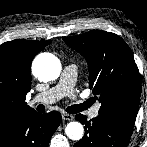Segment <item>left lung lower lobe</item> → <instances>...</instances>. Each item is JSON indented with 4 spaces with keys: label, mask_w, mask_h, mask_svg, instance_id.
Segmentation results:
<instances>
[{
    "label": "left lung lower lobe",
    "mask_w": 147,
    "mask_h": 147,
    "mask_svg": "<svg viewBox=\"0 0 147 147\" xmlns=\"http://www.w3.org/2000/svg\"><path fill=\"white\" fill-rule=\"evenodd\" d=\"M75 119L85 125L84 137L74 147H127L131 133L114 122L97 116L90 121L78 114Z\"/></svg>",
    "instance_id": "0a47b994"
}]
</instances>
